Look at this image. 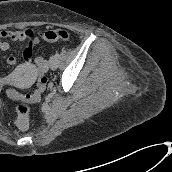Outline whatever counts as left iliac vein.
Listing matches in <instances>:
<instances>
[{"instance_id":"1","label":"left iliac vein","mask_w":172,"mask_h":172,"mask_svg":"<svg viewBox=\"0 0 172 172\" xmlns=\"http://www.w3.org/2000/svg\"><path fill=\"white\" fill-rule=\"evenodd\" d=\"M49 67L52 69V70H55L57 68V58L56 56H51L50 57V60H49Z\"/></svg>"}]
</instances>
